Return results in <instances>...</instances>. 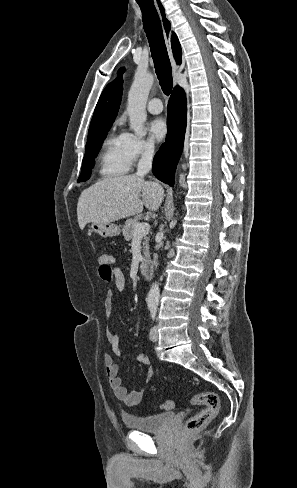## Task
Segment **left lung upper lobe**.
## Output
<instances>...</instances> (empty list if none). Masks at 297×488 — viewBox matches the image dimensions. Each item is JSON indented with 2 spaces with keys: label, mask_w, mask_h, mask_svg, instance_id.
<instances>
[{
  "label": "left lung upper lobe",
  "mask_w": 297,
  "mask_h": 488,
  "mask_svg": "<svg viewBox=\"0 0 297 488\" xmlns=\"http://www.w3.org/2000/svg\"><path fill=\"white\" fill-rule=\"evenodd\" d=\"M123 72H124V68H121V69L119 70V73H123Z\"/></svg>",
  "instance_id": "obj_1"
}]
</instances>
